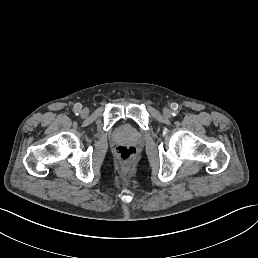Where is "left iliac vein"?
I'll return each instance as SVG.
<instances>
[{"instance_id": "obj_1", "label": "left iliac vein", "mask_w": 258, "mask_h": 258, "mask_svg": "<svg viewBox=\"0 0 258 258\" xmlns=\"http://www.w3.org/2000/svg\"><path fill=\"white\" fill-rule=\"evenodd\" d=\"M165 112L167 113L168 111L166 110ZM166 115L168 116L169 114L167 113Z\"/></svg>"}]
</instances>
